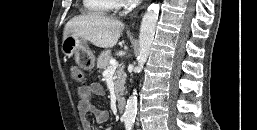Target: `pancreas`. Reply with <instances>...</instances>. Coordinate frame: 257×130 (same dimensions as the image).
Returning <instances> with one entry per match:
<instances>
[{
    "mask_svg": "<svg viewBox=\"0 0 257 130\" xmlns=\"http://www.w3.org/2000/svg\"><path fill=\"white\" fill-rule=\"evenodd\" d=\"M112 59L113 57L110 50L103 51L98 57L97 67L106 70L110 65V60ZM114 80L116 95L119 96L123 92L125 83V73L123 67L116 71Z\"/></svg>",
    "mask_w": 257,
    "mask_h": 130,
    "instance_id": "cf45deb5",
    "label": "pancreas"
}]
</instances>
